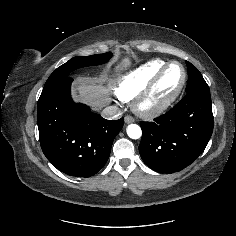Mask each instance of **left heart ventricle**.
Listing matches in <instances>:
<instances>
[{"label":"left heart ventricle","mask_w":236,"mask_h":236,"mask_svg":"<svg viewBox=\"0 0 236 236\" xmlns=\"http://www.w3.org/2000/svg\"><path fill=\"white\" fill-rule=\"evenodd\" d=\"M181 80L182 70L180 66L171 65L155 87L146 104L154 106L168 99L176 91Z\"/></svg>","instance_id":"obj_1"}]
</instances>
